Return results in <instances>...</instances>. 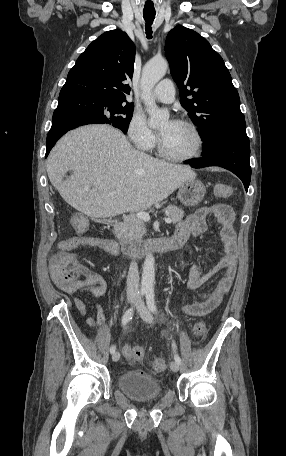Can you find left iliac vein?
<instances>
[{
  "mask_svg": "<svg viewBox=\"0 0 286 456\" xmlns=\"http://www.w3.org/2000/svg\"><path fill=\"white\" fill-rule=\"evenodd\" d=\"M137 311L139 312L140 316L144 321L147 323H152L153 322V316L151 312L148 310L146 307L145 303L142 300H139L136 304ZM170 368L173 372H177L180 369L179 363L176 361H172L170 363Z\"/></svg>",
  "mask_w": 286,
  "mask_h": 456,
  "instance_id": "4c4485c4",
  "label": "left iliac vein"
}]
</instances>
